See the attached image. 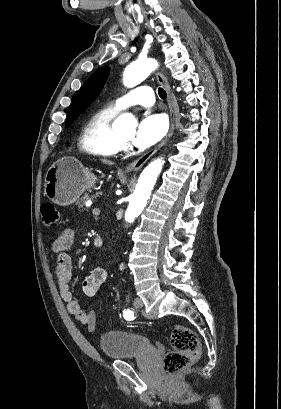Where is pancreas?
<instances>
[{
	"mask_svg": "<svg viewBox=\"0 0 281 409\" xmlns=\"http://www.w3.org/2000/svg\"><path fill=\"white\" fill-rule=\"evenodd\" d=\"M100 194H102L101 190H97L96 194H91V196H89V194H85V196H83L81 200L85 202V200H90V198H96V196H100Z\"/></svg>",
	"mask_w": 281,
	"mask_h": 409,
	"instance_id": "obj_1",
	"label": "pancreas"
}]
</instances>
